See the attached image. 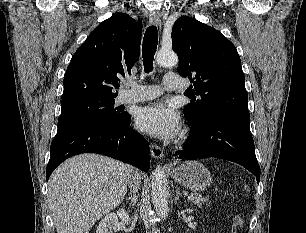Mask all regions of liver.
Segmentation results:
<instances>
[{
	"instance_id": "liver-1",
	"label": "liver",
	"mask_w": 306,
	"mask_h": 233,
	"mask_svg": "<svg viewBox=\"0 0 306 233\" xmlns=\"http://www.w3.org/2000/svg\"><path fill=\"white\" fill-rule=\"evenodd\" d=\"M133 168L98 154H81L59 166L48 182V203L57 233H89L123 201Z\"/></svg>"
}]
</instances>
